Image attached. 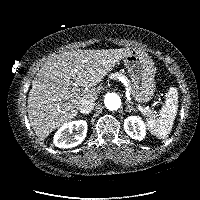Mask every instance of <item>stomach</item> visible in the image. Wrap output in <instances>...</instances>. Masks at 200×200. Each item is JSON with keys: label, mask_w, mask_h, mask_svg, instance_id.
Instances as JSON below:
<instances>
[{"label": "stomach", "mask_w": 200, "mask_h": 200, "mask_svg": "<svg viewBox=\"0 0 200 200\" xmlns=\"http://www.w3.org/2000/svg\"><path fill=\"white\" fill-rule=\"evenodd\" d=\"M124 65L131 78V94L137 102H148L155 91V66L144 51L131 50L123 57Z\"/></svg>", "instance_id": "stomach-1"}]
</instances>
